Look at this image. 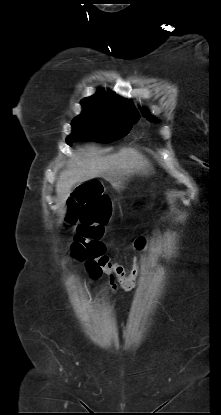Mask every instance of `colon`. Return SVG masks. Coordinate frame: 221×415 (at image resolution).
I'll use <instances>...</instances> for the list:
<instances>
[{
    "label": "colon",
    "instance_id": "obj_1",
    "mask_svg": "<svg viewBox=\"0 0 221 415\" xmlns=\"http://www.w3.org/2000/svg\"><path fill=\"white\" fill-rule=\"evenodd\" d=\"M109 218L110 202L99 186L88 184L77 190L69 201L65 219L67 224L77 223L72 253L78 260L86 261L93 275L103 274L109 283H117L123 294H130L136 289L141 260L134 258L127 267L124 262L110 261L104 255L105 246L100 239ZM134 244L141 251L146 247V239L138 237Z\"/></svg>",
    "mask_w": 221,
    "mask_h": 415
}]
</instances>
